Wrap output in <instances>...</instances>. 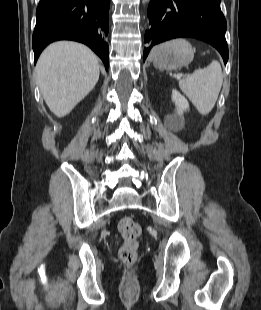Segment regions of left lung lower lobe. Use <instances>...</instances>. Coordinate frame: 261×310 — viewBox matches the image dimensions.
<instances>
[{
  "label": "left lung lower lobe",
  "instance_id": "obj_1",
  "mask_svg": "<svg viewBox=\"0 0 261 310\" xmlns=\"http://www.w3.org/2000/svg\"><path fill=\"white\" fill-rule=\"evenodd\" d=\"M221 0H151L148 6L149 27L145 32L143 60L152 46L177 37H193L215 47L228 61L225 39L226 20Z\"/></svg>",
  "mask_w": 261,
  "mask_h": 310
}]
</instances>
